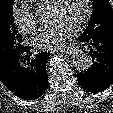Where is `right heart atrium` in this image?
Segmentation results:
<instances>
[{
	"label": "right heart atrium",
	"instance_id": "right-heart-atrium-1",
	"mask_svg": "<svg viewBox=\"0 0 113 113\" xmlns=\"http://www.w3.org/2000/svg\"><path fill=\"white\" fill-rule=\"evenodd\" d=\"M12 18L16 27L22 33H32L37 27L35 14L26 1H14L12 5Z\"/></svg>",
	"mask_w": 113,
	"mask_h": 113
}]
</instances>
